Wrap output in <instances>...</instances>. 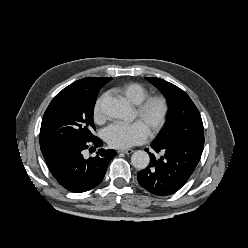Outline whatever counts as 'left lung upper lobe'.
<instances>
[{"label":"left lung upper lobe","mask_w":248,"mask_h":248,"mask_svg":"<svg viewBox=\"0 0 248 248\" xmlns=\"http://www.w3.org/2000/svg\"><path fill=\"white\" fill-rule=\"evenodd\" d=\"M166 97L167 122L155 141L191 140L204 143L201 115L191 98L179 87L159 78L146 77Z\"/></svg>","instance_id":"1"}]
</instances>
